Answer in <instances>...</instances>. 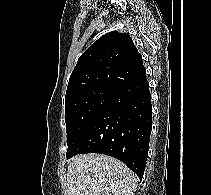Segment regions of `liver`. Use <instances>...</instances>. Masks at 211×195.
<instances>
[{
  "mask_svg": "<svg viewBox=\"0 0 211 195\" xmlns=\"http://www.w3.org/2000/svg\"><path fill=\"white\" fill-rule=\"evenodd\" d=\"M137 181V176L114 157L80 154L68 165L66 195H134Z\"/></svg>",
  "mask_w": 211,
  "mask_h": 195,
  "instance_id": "6515ba94",
  "label": "liver"
}]
</instances>
